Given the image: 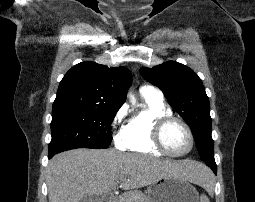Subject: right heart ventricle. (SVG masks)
<instances>
[{
    "instance_id": "right-heart-ventricle-1",
    "label": "right heart ventricle",
    "mask_w": 255,
    "mask_h": 202,
    "mask_svg": "<svg viewBox=\"0 0 255 202\" xmlns=\"http://www.w3.org/2000/svg\"><path fill=\"white\" fill-rule=\"evenodd\" d=\"M145 107L127 121L123 128L124 148L133 152H140L160 156L162 153L152 141V129L155 121L171 110L163 102L151 97H144Z\"/></svg>"
}]
</instances>
